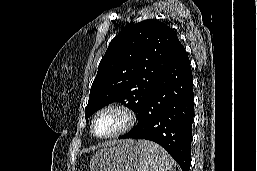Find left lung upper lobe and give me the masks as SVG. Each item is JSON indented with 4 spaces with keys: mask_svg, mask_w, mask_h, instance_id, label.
<instances>
[{
    "mask_svg": "<svg viewBox=\"0 0 257 171\" xmlns=\"http://www.w3.org/2000/svg\"><path fill=\"white\" fill-rule=\"evenodd\" d=\"M182 47L176 33L162 22L147 19L130 25L111 41L100 61L85 118L116 101L139 117Z\"/></svg>",
    "mask_w": 257,
    "mask_h": 171,
    "instance_id": "left-lung-upper-lobe-1",
    "label": "left lung upper lobe"
}]
</instances>
